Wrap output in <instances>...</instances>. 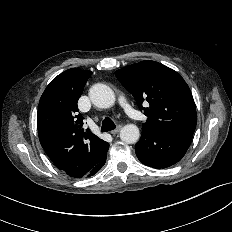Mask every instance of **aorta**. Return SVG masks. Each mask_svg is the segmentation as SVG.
<instances>
[{"label":"aorta","instance_id":"obj_1","mask_svg":"<svg viewBox=\"0 0 232 232\" xmlns=\"http://www.w3.org/2000/svg\"><path fill=\"white\" fill-rule=\"evenodd\" d=\"M92 103L100 108H109L115 103L113 90L102 83L94 84L89 90ZM139 128L134 124H127L120 131V139L127 144H134L139 140Z\"/></svg>","mask_w":232,"mask_h":232}]
</instances>
